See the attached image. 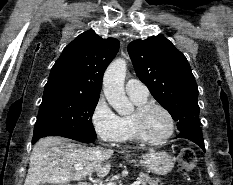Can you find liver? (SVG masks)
<instances>
[{"instance_id": "6515ba94", "label": "liver", "mask_w": 233, "mask_h": 185, "mask_svg": "<svg viewBox=\"0 0 233 185\" xmlns=\"http://www.w3.org/2000/svg\"><path fill=\"white\" fill-rule=\"evenodd\" d=\"M113 154L112 149L89 148L61 137L42 138L32 149L24 185L41 182L63 185L71 180H83L93 172L104 177L110 172L109 159ZM77 164L83 165V169L74 171Z\"/></svg>"}]
</instances>
